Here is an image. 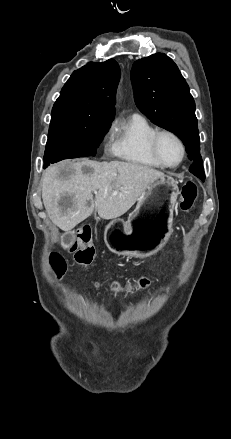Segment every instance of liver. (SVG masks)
<instances>
[{"mask_svg": "<svg viewBox=\"0 0 231 439\" xmlns=\"http://www.w3.org/2000/svg\"><path fill=\"white\" fill-rule=\"evenodd\" d=\"M163 176L156 169L135 163L62 161L44 172L42 200L51 221L71 231L91 216L94 208L105 220L122 216L150 183Z\"/></svg>", "mask_w": 231, "mask_h": 439, "instance_id": "liver-1", "label": "liver"}]
</instances>
